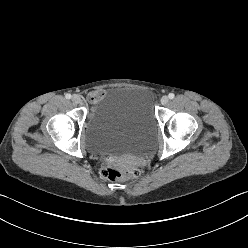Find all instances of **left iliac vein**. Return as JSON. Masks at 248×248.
I'll return each mask as SVG.
<instances>
[{
  "label": "left iliac vein",
  "instance_id": "left-iliac-vein-1",
  "mask_svg": "<svg viewBox=\"0 0 248 248\" xmlns=\"http://www.w3.org/2000/svg\"><path fill=\"white\" fill-rule=\"evenodd\" d=\"M160 101L162 105H166L169 101V98L168 96H162Z\"/></svg>",
  "mask_w": 248,
  "mask_h": 248
}]
</instances>
